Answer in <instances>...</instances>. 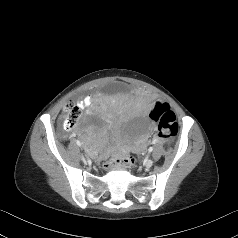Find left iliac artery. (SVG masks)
Wrapping results in <instances>:
<instances>
[{"instance_id": "1", "label": "left iliac artery", "mask_w": 238, "mask_h": 238, "mask_svg": "<svg viewBox=\"0 0 238 238\" xmlns=\"http://www.w3.org/2000/svg\"><path fill=\"white\" fill-rule=\"evenodd\" d=\"M148 151L152 152L153 151V147H149Z\"/></svg>"}]
</instances>
